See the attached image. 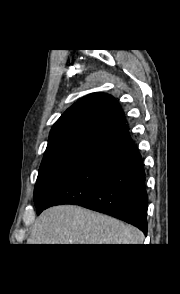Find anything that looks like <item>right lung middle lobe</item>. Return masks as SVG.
I'll list each match as a JSON object with an SVG mask.
<instances>
[{
    "mask_svg": "<svg viewBox=\"0 0 180 294\" xmlns=\"http://www.w3.org/2000/svg\"><path fill=\"white\" fill-rule=\"evenodd\" d=\"M98 145L99 142L79 140L46 149L34 190L37 210L45 206Z\"/></svg>",
    "mask_w": 180,
    "mask_h": 294,
    "instance_id": "1",
    "label": "right lung middle lobe"
}]
</instances>
